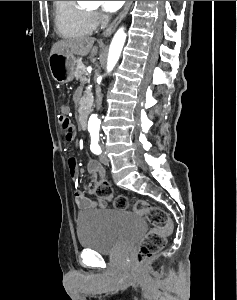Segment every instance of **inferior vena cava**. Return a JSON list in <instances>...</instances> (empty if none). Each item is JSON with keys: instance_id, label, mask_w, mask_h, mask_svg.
<instances>
[{"instance_id": "1", "label": "inferior vena cava", "mask_w": 237, "mask_h": 300, "mask_svg": "<svg viewBox=\"0 0 237 300\" xmlns=\"http://www.w3.org/2000/svg\"><path fill=\"white\" fill-rule=\"evenodd\" d=\"M101 105H102V95H100V93H98V95L96 97V107H97V109H101Z\"/></svg>"}]
</instances>
